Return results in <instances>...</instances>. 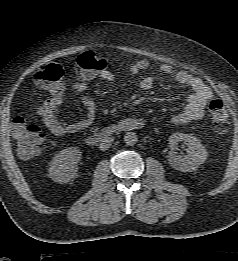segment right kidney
Returning a JSON list of instances; mask_svg holds the SVG:
<instances>
[{
	"label": "right kidney",
	"instance_id": "right-kidney-1",
	"mask_svg": "<svg viewBox=\"0 0 238 261\" xmlns=\"http://www.w3.org/2000/svg\"><path fill=\"white\" fill-rule=\"evenodd\" d=\"M82 156L77 147H69L57 153L50 163L49 177L60 184L68 183L78 171V162Z\"/></svg>",
	"mask_w": 238,
	"mask_h": 261
}]
</instances>
